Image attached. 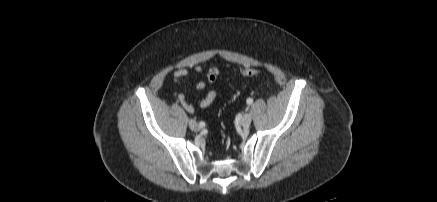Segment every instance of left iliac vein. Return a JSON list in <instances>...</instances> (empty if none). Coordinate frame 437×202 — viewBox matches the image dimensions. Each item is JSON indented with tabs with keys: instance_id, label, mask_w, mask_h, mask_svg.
<instances>
[{
	"instance_id": "1",
	"label": "left iliac vein",
	"mask_w": 437,
	"mask_h": 202,
	"mask_svg": "<svg viewBox=\"0 0 437 202\" xmlns=\"http://www.w3.org/2000/svg\"><path fill=\"white\" fill-rule=\"evenodd\" d=\"M251 124V115L250 114H245L242 119H241V125L244 128H248Z\"/></svg>"
}]
</instances>
